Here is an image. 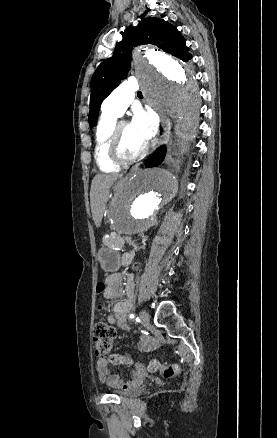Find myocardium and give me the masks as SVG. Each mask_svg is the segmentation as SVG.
<instances>
[{
    "label": "myocardium",
    "instance_id": "myocardium-1",
    "mask_svg": "<svg viewBox=\"0 0 277 438\" xmlns=\"http://www.w3.org/2000/svg\"><path fill=\"white\" fill-rule=\"evenodd\" d=\"M129 124L126 121H121L117 123L111 131L109 144H108V153L110 159L121 166H127L133 164L140 160L146 152V148L134 157H127L122 149V138H121V130L123 125Z\"/></svg>",
    "mask_w": 277,
    "mask_h": 438
}]
</instances>
